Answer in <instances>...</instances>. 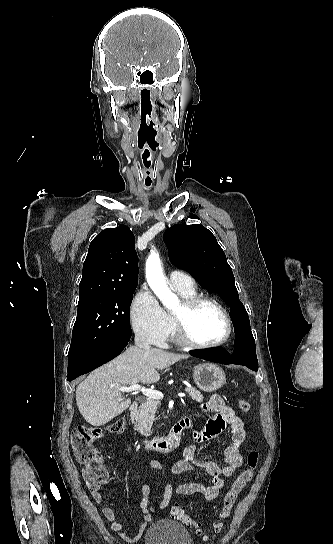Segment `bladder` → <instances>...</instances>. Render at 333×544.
Segmentation results:
<instances>
[{"label": "bladder", "mask_w": 333, "mask_h": 544, "mask_svg": "<svg viewBox=\"0 0 333 544\" xmlns=\"http://www.w3.org/2000/svg\"><path fill=\"white\" fill-rule=\"evenodd\" d=\"M144 544H192V539L184 525L161 519L152 523L147 529Z\"/></svg>", "instance_id": "bladder-1"}]
</instances>
